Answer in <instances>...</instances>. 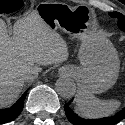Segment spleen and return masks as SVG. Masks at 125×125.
<instances>
[{
    "mask_svg": "<svg viewBox=\"0 0 125 125\" xmlns=\"http://www.w3.org/2000/svg\"><path fill=\"white\" fill-rule=\"evenodd\" d=\"M75 101V112L85 118L108 116L120 107L118 100H100L84 90L78 91Z\"/></svg>",
    "mask_w": 125,
    "mask_h": 125,
    "instance_id": "1",
    "label": "spleen"
}]
</instances>
